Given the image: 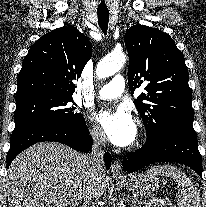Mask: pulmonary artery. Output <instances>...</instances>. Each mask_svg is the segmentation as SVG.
Returning a JSON list of instances; mask_svg holds the SVG:
<instances>
[{"label": "pulmonary artery", "mask_w": 206, "mask_h": 207, "mask_svg": "<svg viewBox=\"0 0 206 207\" xmlns=\"http://www.w3.org/2000/svg\"><path fill=\"white\" fill-rule=\"evenodd\" d=\"M124 88L125 80L123 76L115 75L108 84L98 91V96L102 99L116 98L123 93Z\"/></svg>", "instance_id": "e3ab8cb5"}]
</instances>
